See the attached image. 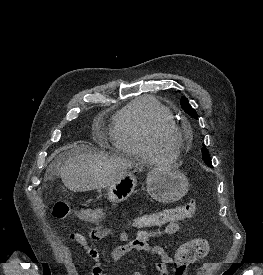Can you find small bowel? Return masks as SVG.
Returning a JSON list of instances; mask_svg holds the SVG:
<instances>
[{
    "label": "small bowel",
    "mask_w": 263,
    "mask_h": 275,
    "mask_svg": "<svg viewBox=\"0 0 263 275\" xmlns=\"http://www.w3.org/2000/svg\"><path fill=\"white\" fill-rule=\"evenodd\" d=\"M179 230L178 222L169 223L164 226H160L155 230H146L140 228L134 237H130L127 234H121L120 238L124 241L123 244L113 248L109 253V258L112 262H117L125 255L132 251L144 252L149 255L155 256L158 260L155 263V268L159 275H173L174 271L171 270L173 266L174 258L168 254L165 249L154 244L153 241L157 238L174 235ZM110 234V230L103 226L93 228L87 236L74 233L70 239L79 245L82 250L93 261L94 265L91 269V275H107L104 274L103 262L100 253L94 248L88 240L98 241ZM61 251L66 258H70V251L67 247L62 246ZM133 275H142L138 268H135Z\"/></svg>",
    "instance_id": "obj_1"
}]
</instances>
